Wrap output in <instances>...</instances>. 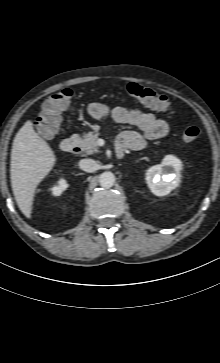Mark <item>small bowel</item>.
I'll list each match as a JSON object with an SVG mask.
<instances>
[{
  "mask_svg": "<svg viewBox=\"0 0 220 363\" xmlns=\"http://www.w3.org/2000/svg\"><path fill=\"white\" fill-rule=\"evenodd\" d=\"M87 112L93 119L134 125L141 130V132L125 130L119 134L117 147L123 149L140 150L145 147L147 141L163 138L169 132L168 123L152 111L122 107L109 108L94 102L88 106Z\"/></svg>",
  "mask_w": 220,
  "mask_h": 363,
  "instance_id": "c3829d8e",
  "label": "small bowel"
}]
</instances>
